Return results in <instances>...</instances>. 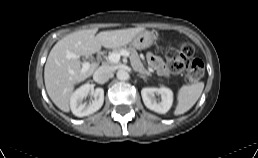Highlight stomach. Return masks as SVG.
<instances>
[{
    "mask_svg": "<svg viewBox=\"0 0 258 158\" xmlns=\"http://www.w3.org/2000/svg\"><path fill=\"white\" fill-rule=\"evenodd\" d=\"M154 39V35L151 32L143 30L132 39L130 44L136 49H146L153 44Z\"/></svg>",
    "mask_w": 258,
    "mask_h": 158,
    "instance_id": "0dacf381",
    "label": "stomach"
}]
</instances>
